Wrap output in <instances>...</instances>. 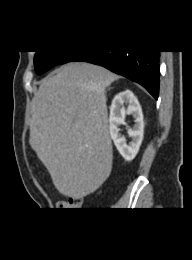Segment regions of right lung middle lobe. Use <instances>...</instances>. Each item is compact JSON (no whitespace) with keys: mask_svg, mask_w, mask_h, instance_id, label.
<instances>
[{"mask_svg":"<svg viewBox=\"0 0 192 260\" xmlns=\"http://www.w3.org/2000/svg\"><path fill=\"white\" fill-rule=\"evenodd\" d=\"M69 51H36L34 56L35 71L42 74L55 65L61 63Z\"/></svg>","mask_w":192,"mask_h":260,"instance_id":"right-lung-middle-lobe-1","label":"right lung middle lobe"}]
</instances>
